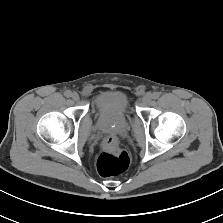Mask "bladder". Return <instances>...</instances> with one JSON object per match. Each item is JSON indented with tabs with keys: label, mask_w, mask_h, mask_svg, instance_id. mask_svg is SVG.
Instances as JSON below:
<instances>
[{
	"label": "bladder",
	"mask_w": 223,
	"mask_h": 223,
	"mask_svg": "<svg viewBox=\"0 0 223 223\" xmlns=\"http://www.w3.org/2000/svg\"><path fill=\"white\" fill-rule=\"evenodd\" d=\"M94 109L102 118L121 119L130 111L129 97L121 90L101 91L95 98Z\"/></svg>",
	"instance_id": "bladder-1"
}]
</instances>
